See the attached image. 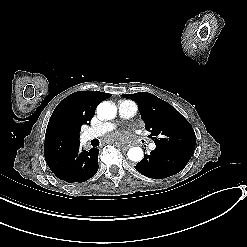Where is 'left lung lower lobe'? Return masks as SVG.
<instances>
[{"label":"left lung lower lobe","mask_w":247,"mask_h":247,"mask_svg":"<svg viewBox=\"0 0 247 247\" xmlns=\"http://www.w3.org/2000/svg\"><path fill=\"white\" fill-rule=\"evenodd\" d=\"M191 156L171 148L157 147L150 155H145L135 169L146 177L162 179L180 172Z\"/></svg>","instance_id":"left-lung-lower-lobe-1"}]
</instances>
